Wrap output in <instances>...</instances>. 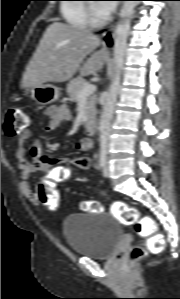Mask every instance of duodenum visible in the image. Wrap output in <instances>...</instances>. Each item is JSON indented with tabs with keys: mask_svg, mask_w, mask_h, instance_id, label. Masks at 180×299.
<instances>
[{
	"mask_svg": "<svg viewBox=\"0 0 180 299\" xmlns=\"http://www.w3.org/2000/svg\"><path fill=\"white\" fill-rule=\"evenodd\" d=\"M96 127H97V125H96V123L94 122V121H87L86 123H85V130H86V132L88 133V134H90V135H93V134H95V131H96Z\"/></svg>",
	"mask_w": 180,
	"mask_h": 299,
	"instance_id": "obj_1",
	"label": "duodenum"
}]
</instances>
